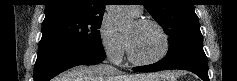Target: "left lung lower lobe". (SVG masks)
<instances>
[{"mask_svg":"<svg viewBox=\"0 0 237 81\" xmlns=\"http://www.w3.org/2000/svg\"><path fill=\"white\" fill-rule=\"evenodd\" d=\"M170 69H184L198 75L203 81H209L207 57L203 50H197L184 55L183 57L172 61L165 62L160 60L157 63L146 66L133 68L137 72L159 71Z\"/></svg>","mask_w":237,"mask_h":81,"instance_id":"obj_1","label":"left lung lower lobe"}]
</instances>
